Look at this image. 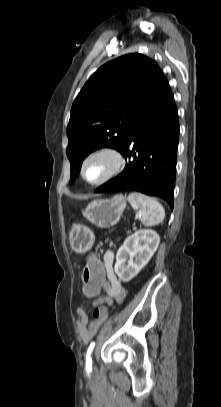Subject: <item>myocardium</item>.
<instances>
[{
  "label": "myocardium",
  "mask_w": 221,
  "mask_h": 407,
  "mask_svg": "<svg viewBox=\"0 0 221 407\" xmlns=\"http://www.w3.org/2000/svg\"><path fill=\"white\" fill-rule=\"evenodd\" d=\"M101 155H107L112 159V161H113L112 169L109 171V173L107 175H105L102 179H100L98 181L87 180L85 177V174H84L86 164L92 158L101 156ZM125 166H126V158H125L124 153L116 147L105 146V147H101V148H98V149L92 151L85 157V159L83 160L81 167H80V175H81V178L87 184H89L91 186H100V185H103V184L111 181L112 179L116 178L123 171Z\"/></svg>",
  "instance_id": "1"
}]
</instances>
